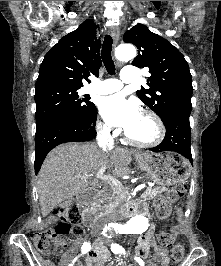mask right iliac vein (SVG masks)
I'll return each mask as SVG.
<instances>
[{
  "mask_svg": "<svg viewBox=\"0 0 221 266\" xmlns=\"http://www.w3.org/2000/svg\"><path fill=\"white\" fill-rule=\"evenodd\" d=\"M101 245V239L98 237L97 241L95 242L94 247H100Z\"/></svg>",
  "mask_w": 221,
  "mask_h": 266,
  "instance_id": "63e3f726",
  "label": "right iliac vein"
}]
</instances>
